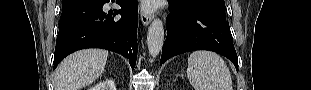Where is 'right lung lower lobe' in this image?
<instances>
[{
    "label": "right lung lower lobe",
    "instance_id": "98d812e1",
    "mask_svg": "<svg viewBox=\"0 0 311 90\" xmlns=\"http://www.w3.org/2000/svg\"><path fill=\"white\" fill-rule=\"evenodd\" d=\"M109 1L88 0L62 11L54 68L72 52L103 48L128 58L134 69L137 58V0H117L121 9L105 13L103 5ZM117 14L121 15L120 19H114Z\"/></svg>",
    "mask_w": 311,
    "mask_h": 90
}]
</instances>
